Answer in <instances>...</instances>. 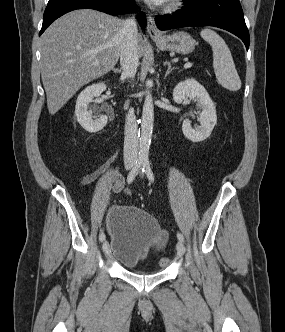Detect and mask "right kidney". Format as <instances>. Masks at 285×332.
<instances>
[{
	"label": "right kidney",
	"mask_w": 285,
	"mask_h": 332,
	"mask_svg": "<svg viewBox=\"0 0 285 332\" xmlns=\"http://www.w3.org/2000/svg\"><path fill=\"white\" fill-rule=\"evenodd\" d=\"M106 90L104 83H97L85 88L78 96L75 106V115L81 127L90 133L103 129L107 124V116L101 115L93 119L89 104L93 97H99Z\"/></svg>",
	"instance_id": "ca27d5eb"
}]
</instances>
